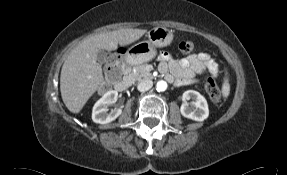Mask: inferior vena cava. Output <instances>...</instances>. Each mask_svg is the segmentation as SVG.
Returning <instances> with one entry per match:
<instances>
[{"label": "inferior vena cava", "mask_w": 287, "mask_h": 175, "mask_svg": "<svg viewBox=\"0 0 287 175\" xmlns=\"http://www.w3.org/2000/svg\"><path fill=\"white\" fill-rule=\"evenodd\" d=\"M152 86H153L152 80L146 79V80L141 81V82L138 84L137 89H138L140 92H145V91H148L149 89H151Z\"/></svg>", "instance_id": "obj_1"}]
</instances>
